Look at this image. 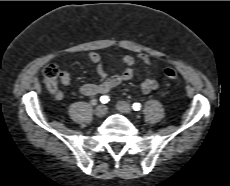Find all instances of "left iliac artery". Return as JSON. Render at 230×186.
<instances>
[{
  "mask_svg": "<svg viewBox=\"0 0 230 186\" xmlns=\"http://www.w3.org/2000/svg\"><path fill=\"white\" fill-rule=\"evenodd\" d=\"M132 107L135 111L141 110V104L140 103H134Z\"/></svg>",
  "mask_w": 230,
  "mask_h": 186,
  "instance_id": "obj_1",
  "label": "left iliac artery"
}]
</instances>
